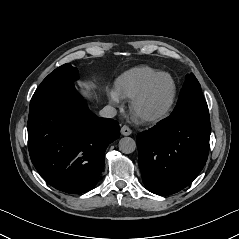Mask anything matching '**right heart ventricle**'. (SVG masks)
Wrapping results in <instances>:
<instances>
[{"label": "right heart ventricle", "instance_id": "e07e8e85", "mask_svg": "<svg viewBox=\"0 0 239 239\" xmlns=\"http://www.w3.org/2000/svg\"><path fill=\"white\" fill-rule=\"evenodd\" d=\"M159 72L150 67H136L124 72L115 82L116 92L123 98H131Z\"/></svg>", "mask_w": 239, "mask_h": 239}]
</instances>
